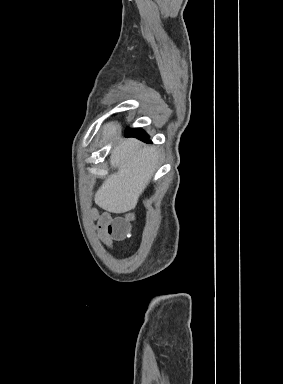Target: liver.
<instances>
[{
    "mask_svg": "<svg viewBox=\"0 0 283 384\" xmlns=\"http://www.w3.org/2000/svg\"><path fill=\"white\" fill-rule=\"evenodd\" d=\"M104 130L106 138H116L117 126L114 122L105 124ZM158 160L155 148L144 146L138 140L121 142L112 150L110 156V166L117 168L118 172L108 176L97 190L94 196L95 204L112 214L134 210L142 192L156 172Z\"/></svg>",
    "mask_w": 283,
    "mask_h": 384,
    "instance_id": "1",
    "label": "liver"
}]
</instances>
